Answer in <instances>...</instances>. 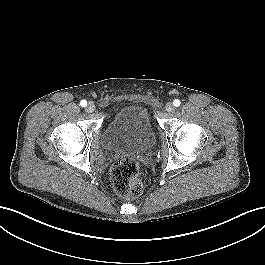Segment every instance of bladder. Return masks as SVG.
Returning a JSON list of instances; mask_svg holds the SVG:
<instances>
[{
    "label": "bladder",
    "instance_id": "1",
    "mask_svg": "<svg viewBox=\"0 0 265 265\" xmlns=\"http://www.w3.org/2000/svg\"><path fill=\"white\" fill-rule=\"evenodd\" d=\"M154 142L150 112L139 103L120 106L104 128L103 145L109 151L144 152Z\"/></svg>",
    "mask_w": 265,
    "mask_h": 265
}]
</instances>
